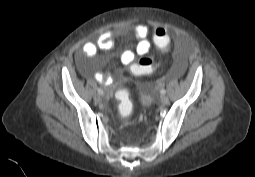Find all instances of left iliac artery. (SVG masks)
Returning <instances> with one entry per match:
<instances>
[{"label":"left iliac artery","mask_w":255,"mask_h":177,"mask_svg":"<svg viewBox=\"0 0 255 177\" xmlns=\"http://www.w3.org/2000/svg\"><path fill=\"white\" fill-rule=\"evenodd\" d=\"M160 93L164 95L166 93V90L165 89H161Z\"/></svg>","instance_id":"44dca946"}]
</instances>
